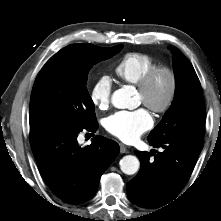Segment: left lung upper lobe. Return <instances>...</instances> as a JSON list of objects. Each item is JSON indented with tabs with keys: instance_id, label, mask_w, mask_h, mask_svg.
Masks as SVG:
<instances>
[{
	"instance_id": "5c2ea615",
	"label": "left lung upper lobe",
	"mask_w": 221,
	"mask_h": 221,
	"mask_svg": "<svg viewBox=\"0 0 221 221\" xmlns=\"http://www.w3.org/2000/svg\"><path fill=\"white\" fill-rule=\"evenodd\" d=\"M176 76L175 99L162 121L149 134L148 141L158 143L183 138L202 143L206 111L200 81L192 64L171 47Z\"/></svg>"
}]
</instances>
